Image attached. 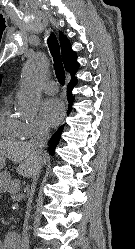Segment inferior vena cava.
<instances>
[{"label":"inferior vena cava","instance_id":"1","mask_svg":"<svg viewBox=\"0 0 135 249\" xmlns=\"http://www.w3.org/2000/svg\"><path fill=\"white\" fill-rule=\"evenodd\" d=\"M48 139H49L48 128L40 127L37 131L36 136L34 138H32L30 141V145L33 148L36 155L41 156V155L45 154V152H43V148L46 146ZM40 169L41 168L38 167L33 174V182H32L30 199H29V204H28L29 210H30V204L32 202L31 198H32L34 190H35V185H36V182H37L38 177H39ZM28 216H29V213H27V218H28ZM27 227L28 226L25 225V231L22 235L19 249H29V240H28L27 231H26Z\"/></svg>","mask_w":135,"mask_h":249}]
</instances>
